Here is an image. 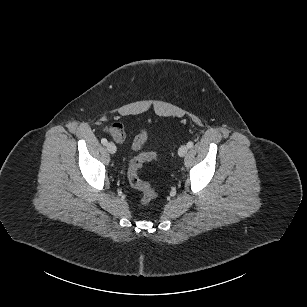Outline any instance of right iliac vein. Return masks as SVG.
<instances>
[{
  "instance_id": "right-iliac-vein-1",
  "label": "right iliac vein",
  "mask_w": 307,
  "mask_h": 307,
  "mask_svg": "<svg viewBox=\"0 0 307 307\" xmlns=\"http://www.w3.org/2000/svg\"><path fill=\"white\" fill-rule=\"evenodd\" d=\"M106 148H107V150H108V152L109 153H111V154H114V153H116V146H115V144L113 143V142H109V143H107L106 144Z\"/></svg>"
}]
</instances>
